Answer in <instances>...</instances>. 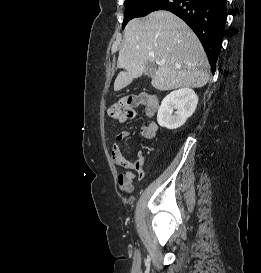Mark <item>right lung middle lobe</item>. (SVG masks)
Segmentation results:
<instances>
[{
    "label": "right lung middle lobe",
    "mask_w": 261,
    "mask_h": 273,
    "mask_svg": "<svg viewBox=\"0 0 261 273\" xmlns=\"http://www.w3.org/2000/svg\"><path fill=\"white\" fill-rule=\"evenodd\" d=\"M151 0H125L126 10L124 12V21L122 28L133 18L141 17L142 13L139 10L140 5L149 2Z\"/></svg>",
    "instance_id": "obj_1"
}]
</instances>
